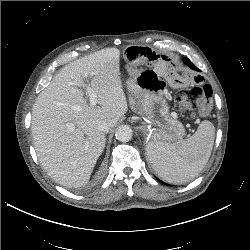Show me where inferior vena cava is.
Listing matches in <instances>:
<instances>
[{
  "label": "inferior vena cava",
  "mask_w": 250,
  "mask_h": 250,
  "mask_svg": "<svg viewBox=\"0 0 250 250\" xmlns=\"http://www.w3.org/2000/svg\"><path fill=\"white\" fill-rule=\"evenodd\" d=\"M110 128V124L105 121L98 126V129L103 133H108Z\"/></svg>",
  "instance_id": "obj_1"
}]
</instances>
